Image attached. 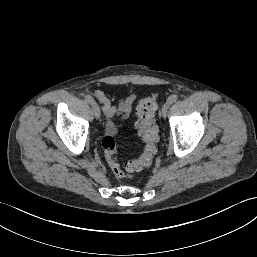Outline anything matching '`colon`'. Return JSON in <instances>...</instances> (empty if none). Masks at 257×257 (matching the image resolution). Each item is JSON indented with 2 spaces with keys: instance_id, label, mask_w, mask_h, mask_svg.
I'll use <instances>...</instances> for the list:
<instances>
[{
  "instance_id": "1",
  "label": "colon",
  "mask_w": 257,
  "mask_h": 257,
  "mask_svg": "<svg viewBox=\"0 0 257 257\" xmlns=\"http://www.w3.org/2000/svg\"><path fill=\"white\" fill-rule=\"evenodd\" d=\"M156 108L155 97H147L141 100L137 107L136 126L143 142V151L138 158L125 162L124 169L128 173L138 172L151 166L158 152V129L155 124ZM102 148L114 176L118 179H124L127 174L119 161L114 139L111 136L104 137Z\"/></svg>"
}]
</instances>
